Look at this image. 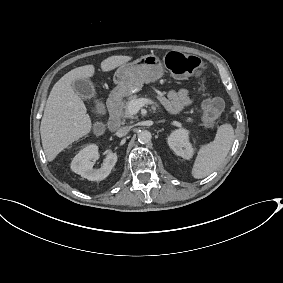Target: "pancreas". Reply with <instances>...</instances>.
I'll return each instance as SVG.
<instances>
[{
	"instance_id": "cf45deb5",
	"label": "pancreas",
	"mask_w": 283,
	"mask_h": 283,
	"mask_svg": "<svg viewBox=\"0 0 283 283\" xmlns=\"http://www.w3.org/2000/svg\"><path fill=\"white\" fill-rule=\"evenodd\" d=\"M141 95H131L127 101L121 102L118 107L116 106H108V111L110 115H116L120 118L128 117L127 107L130 102L135 101L140 98ZM186 123L193 124V119L191 117H187L185 119Z\"/></svg>"
}]
</instances>
